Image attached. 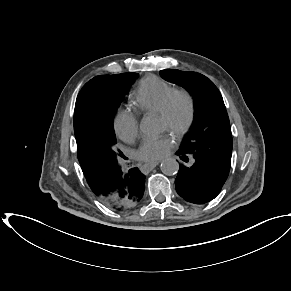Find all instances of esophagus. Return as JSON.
I'll use <instances>...</instances> for the list:
<instances>
[{"label": "esophagus", "mask_w": 291, "mask_h": 291, "mask_svg": "<svg viewBox=\"0 0 291 291\" xmlns=\"http://www.w3.org/2000/svg\"><path fill=\"white\" fill-rule=\"evenodd\" d=\"M159 163H160L159 161L148 163V164H146V169L151 170V169L155 168Z\"/></svg>", "instance_id": "34e87169"}]
</instances>
